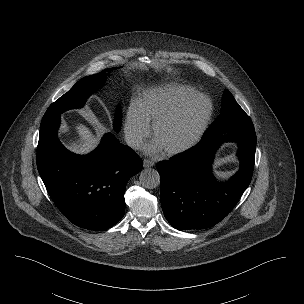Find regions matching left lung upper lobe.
I'll use <instances>...</instances> for the list:
<instances>
[{
  "mask_svg": "<svg viewBox=\"0 0 304 304\" xmlns=\"http://www.w3.org/2000/svg\"><path fill=\"white\" fill-rule=\"evenodd\" d=\"M234 129L254 130V126L250 117L238 105L233 95L228 90H225L222 98L221 113L204 136Z\"/></svg>",
  "mask_w": 304,
  "mask_h": 304,
  "instance_id": "left-lung-upper-lobe-1",
  "label": "left lung upper lobe"
}]
</instances>
